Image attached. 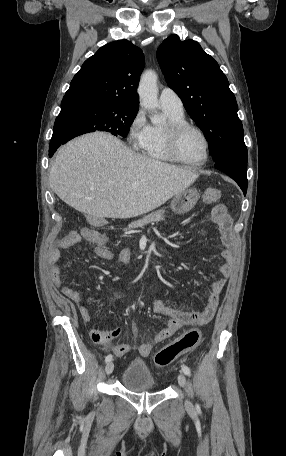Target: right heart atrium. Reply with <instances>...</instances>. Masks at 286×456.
Here are the masks:
<instances>
[{"mask_svg":"<svg viewBox=\"0 0 286 456\" xmlns=\"http://www.w3.org/2000/svg\"><path fill=\"white\" fill-rule=\"evenodd\" d=\"M149 131L145 112L140 108L132 117L128 126V139L132 147L140 148L146 140Z\"/></svg>","mask_w":286,"mask_h":456,"instance_id":"right-heart-atrium-1","label":"right heart atrium"}]
</instances>
